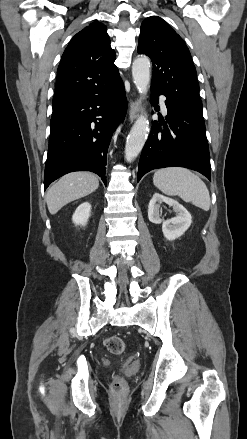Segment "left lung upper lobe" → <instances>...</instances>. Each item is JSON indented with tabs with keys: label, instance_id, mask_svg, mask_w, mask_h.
Returning <instances> with one entry per match:
<instances>
[{
	"label": "left lung upper lobe",
	"instance_id": "left-lung-upper-lobe-1",
	"mask_svg": "<svg viewBox=\"0 0 247 439\" xmlns=\"http://www.w3.org/2000/svg\"><path fill=\"white\" fill-rule=\"evenodd\" d=\"M139 54L153 63L151 87L179 105L202 113L196 69L182 38L160 17L146 18L141 25Z\"/></svg>",
	"mask_w": 247,
	"mask_h": 439
}]
</instances>
